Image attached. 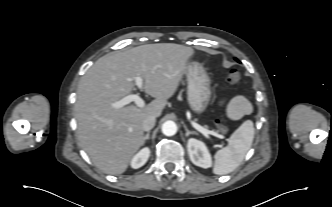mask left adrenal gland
Returning <instances> with one entry per match:
<instances>
[{"instance_id":"a2214340","label":"left adrenal gland","mask_w":332,"mask_h":207,"mask_svg":"<svg viewBox=\"0 0 332 207\" xmlns=\"http://www.w3.org/2000/svg\"><path fill=\"white\" fill-rule=\"evenodd\" d=\"M184 129L186 131V137H188L190 134H196L194 131L188 130L187 126L184 124Z\"/></svg>"}]
</instances>
